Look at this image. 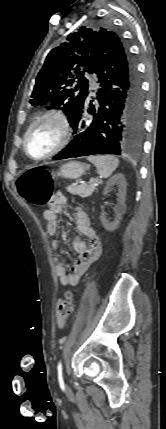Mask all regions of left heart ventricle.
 I'll list each match as a JSON object with an SVG mask.
<instances>
[{
  "label": "left heart ventricle",
  "instance_id": "1",
  "mask_svg": "<svg viewBox=\"0 0 166 429\" xmlns=\"http://www.w3.org/2000/svg\"><path fill=\"white\" fill-rule=\"evenodd\" d=\"M60 129L53 121H43L30 133L27 148L34 157H41L51 151L58 143Z\"/></svg>",
  "mask_w": 166,
  "mask_h": 429
}]
</instances>
